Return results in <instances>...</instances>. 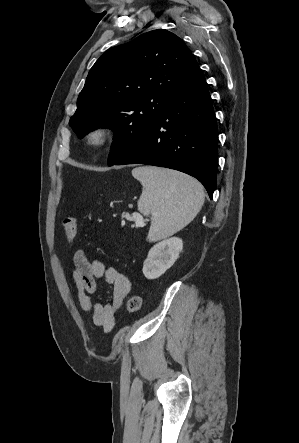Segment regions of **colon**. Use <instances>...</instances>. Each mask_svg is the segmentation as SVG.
<instances>
[{"label": "colon", "mask_w": 299, "mask_h": 443, "mask_svg": "<svg viewBox=\"0 0 299 443\" xmlns=\"http://www.w3.org/2000/svg\"><path fill=\"white\" fill-rule=\"evenodd\" d=\"M63 228L67 237V240L70 243H73L76 239L77 235V224H76V218L68 214L63 218ZM142 305V299L139 295H132L128 301H127V311L129 313H136L140 310Z\"/></svg>", "instance_id": "5ec220e1"}]
</instances>
